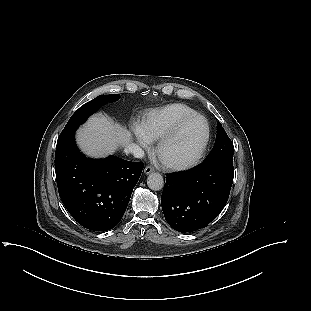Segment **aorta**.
I'll use <instances>...</instances> for the list:
<instances>
[{"label":"aorta","instance_id":"1","mask_svg":"<svg viewBox=\"0 0 311 311\" xmlns=\"http://www.w3.org/2000/svg\"><path fill=\"white\" fill-rule=\"evenodd\" d=\"M147 185L151 190L159 191L164 187V179L160 173H151L147 178Z\"/></svg>","mask_w":311,"mask_h":311}]
</instances>
